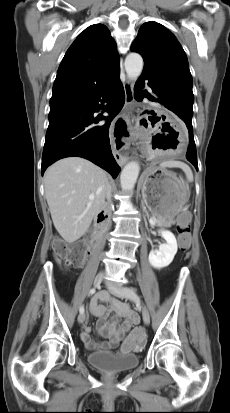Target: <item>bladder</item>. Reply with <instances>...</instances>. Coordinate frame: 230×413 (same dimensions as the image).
I'll return each mask as SVG.
<instances>
[{
    "instance_id": "obj_1",
    "label": "bladder",
    "mask_w": 230,
    "mask_h": 413,
    "mask_svg": "<svg viewBox=\"0 0 230 413\" xmlns=\"http://www.w3.org/2000/svg\"><path fill=\"white\" fill-rule=\"evenodd\" d=\"M87 359L92 366L108 374L128 371L139 364V357L133 353L93 351L88 354Z\"/></svg>"
}]
</instances>
